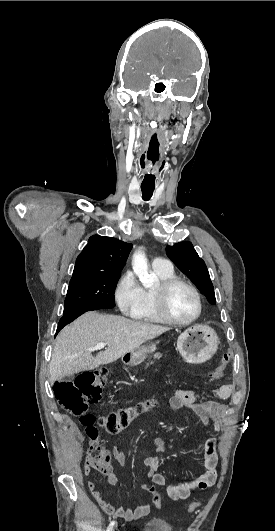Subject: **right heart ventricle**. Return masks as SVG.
<instances>
[{
    "label": "right heart ventricle",
    "instance_id": "right-heart-ventricle-1",
    "mask_svg": "<svg viewBox=\"0 0 275 531\" xmlns=\"http://www.w3.org/2000/svg\"><path fill=\"white\" fill-rule=\"evenodd\" d=\"M157 275L161 280L173 277L174 273L157 271ZM134 318L148 323H161L164 320L160 317L156 309L153 290H144V305L142 309L134 316Z\"/></svg>",
    "mask_w": 275,
    "mask_h": 531
}]
</instances>
